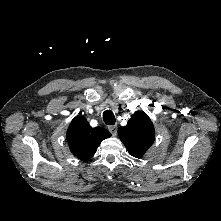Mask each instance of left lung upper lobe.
<instances>
[{
    "label": "left lung upper lobe",
    "mask_w": 221,
    "mask_h": 221,
    "mask_svg": "<svg viewBox=\"0 0 221 221\" xmlns=\"http://www.w3.org/2000/svg\"><path fill=\"white\" fill-rule=\"evenodd\" d=\"M118 134L128 152L137 158L144 155L155 139L153 123L143 111L135 112L126 126L119 127Z\"/></svg>",
    "instance_id": "5c2ea615"
}]
</instances>
